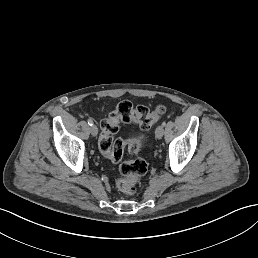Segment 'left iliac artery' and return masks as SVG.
I'll return each instance as SVG.
<instances>
[{"instance_id":"44dca946","label":"left iliac artery","mask_w":258,"mask_h":258,"mask_svg":"<svg viewBox=\"0 0 258 258\" xmlns=\"http://www.w3.org/2000/svg\"><path fill=\"white\" fill-rule=\"evenodd\" d=\"M162 126L165 127L166 126V121L162 122Z\"/></svg>"}]
</instances>
